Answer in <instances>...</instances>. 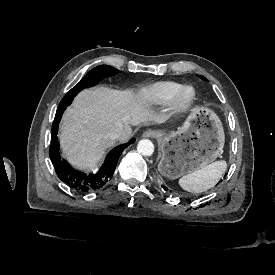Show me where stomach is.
Listing matches in <instances>:
<instances>
[{
  "instance_id": "0dacf381",
  "label": "stomach",
  "mask_w": 275,
  "mask_h": 275,
  "mask_svg": "<svg viewBox=\"0 0 275 275\" xmlns=\"http://www.w3.org/2000/svg\"><path fill=\"white\" fill-rule=\"evenodd\" d=\"M159 172L177 179L214 162L223 152L225 134L215 112L203 107L191 110L177 131L159 130Z\"/></svg>"
}]
</instances>
